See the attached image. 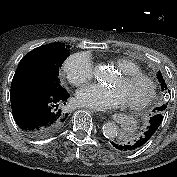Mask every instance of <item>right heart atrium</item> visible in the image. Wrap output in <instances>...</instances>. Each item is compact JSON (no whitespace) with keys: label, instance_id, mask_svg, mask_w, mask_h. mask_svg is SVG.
Instances as JSON below:
<instances>
[{"label":"right heart atrium","instance_id":"obj_1","mask_svg":"<svg viewBox=\"0 0 177 177\" xmlns=\"http://www.w3.org/2000/svg\"><path fill=\"white\" fill-rule=\"evenodd\" d=\"M63 72L73 85H81L89 81L93 76V64L86 53L70 55L63 63Z\"/></svg>","mask_w":177,"mask_h":177}]
</instances>
